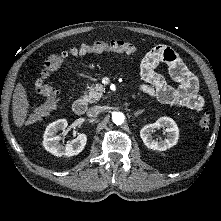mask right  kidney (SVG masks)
Returning a JSON list of instances; mask_svg holds the SVG:
<instances>
[{"label": "right kidney", "mask_w": 221, "mask_h": 221, "mask_svg": "<svg viewBox=\"0 0 221 221\" xmlns=\"http://www.w3.org/2000/svg\"><path fill=\"white\" fill-rule=\"evenodd\" d=\"M68 126L66 119H59L49 124L44 133L43 146L51 154L61 156H74L78 155L84 149L87 136L79 133L78 136L70 143L63 144L60 142V137L56 135L59 130H65Z\"/></svg>", "instance_id": "obj_1"}]
</instances>
